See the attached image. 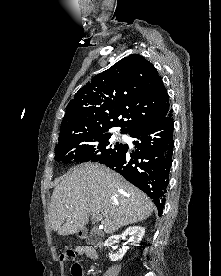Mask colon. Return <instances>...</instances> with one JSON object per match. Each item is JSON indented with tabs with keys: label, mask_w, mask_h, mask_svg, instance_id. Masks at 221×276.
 I'll list each match as a JSON object with an SVG mask.
<instances>
[{
	"label": "colon",
	"mask_w": 221,
	"mask_h": 276,
	"mask_svg": "<svg viewBox=\"0 0 221 276\" xmlns=\"http://www.w3.org/2000/svg\"><path fill=\"white\" fill-rule=\"evenodd\" d=\"M75 253L73 250H67L61 255V260L63 261H74ZM72 273L74 276H82V268L79 264H74L72 266Z\"/></svg>",
	"instance_id": "colon-1"
}]
</instances>
